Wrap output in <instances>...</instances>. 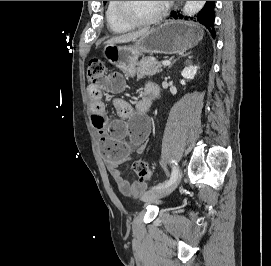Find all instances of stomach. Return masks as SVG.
I'll return each mask as SVG.
<instances>
[{
    "mask_svg": "<svg viewBox=\"0 0 271 266\" xmlns=\"http://www.w3.org/2000/svg\"><path fill=\"white\" fill-rule=\"evenodd\" d=\"M203 30L197 24L184 21H167L150 29L133 45L107 44L104 57L125 74L136 72L138 58L143 53H181L196 46L203 38Z\"/></svg>",
    "mask_w": 271,
    "mask_h": 266,
    "instance_id": "0dacf381",
    "label": "stomach"
}]
</instances>
